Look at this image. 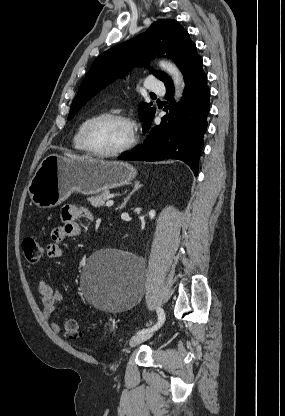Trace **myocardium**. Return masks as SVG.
I'll use <instances>...</instances> for the list:
<instances>
[{
	"mask_svg": "<svg viewBox=\"0 0 285 416\" xmlns=\"http://www.w3.org/2000/svg\"><path fill=\"white\" fill-rule=\"evenodd\" d=\"M107 119L119 121V122L123 123L128 129L129 135H128V139H127L126 143L122 147H120L116 150H111V151L99 150V149L95 148L91 144V141H90L89 132H90V129L93 127V125H95L96 123H98L102 120H107ZM134 141H135V136H134V130H133L132 122L125 115H123L121 113H116V112H104V113H99V114H96V115L92 116L86 122V124L83 128V131H82L83 146L85 147L87 152H89L90 154H92L94 156H99V157H117V156H121L124 153H126L133 146Z\"/></svg>",
	"mask_w": 285,
	"mask_h": 416,
	"instance_id": "1",
	"label": "myocardium"
}]
</instances>
